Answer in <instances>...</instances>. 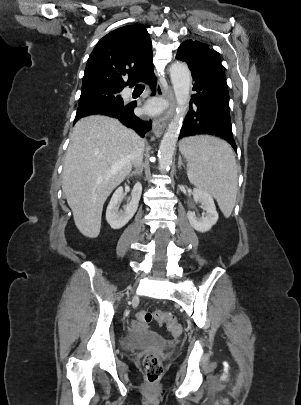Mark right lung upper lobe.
Returning <instances> with one entry per match:
<instances>
[{"instance_id":"obj_1","label":"right lung upper lobe","mask_w":301,"mask_h":405,"mask_svg":"<svg viewBox=\"0 0 301 405\" xmlns=\"http://www.w3.org/2000/svg\"><path fill=\"white\" fill-rule=\"evenodd\" d=\"M152 45L146 28L127 25L105 35L92 51L82 89L109 87L122 90L153 69ZM128 77L127 81H124Z\"/></svg>"}]
</instances>
